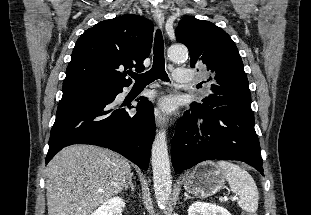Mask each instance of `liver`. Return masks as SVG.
Returning a JSON list of instances; mask_svg holds the SVG:
<instances>
[{"instance_id": "obj_1", "label": "liver", "mask_w": 311, "mask_h": 215, "mask_svg": "<svg viewBox=\"0 0 311 215\" xmlns=\"http://www.w3.org/2000/svg\"><path fill=\"white\" fill-rule=\"evenodd\" d=\"M133 175L119 154L91 145L63 148L46 168L48 215H91Z\"/></svg>"}]
</instances>
